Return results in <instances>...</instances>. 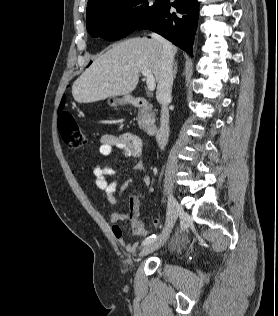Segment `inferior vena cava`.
Instances as JSON below:
<instances>
[{"label":"inferior vena cava","instance_id":"602c4592","mask_svg":"<svg viewBox=\"0 0 278 316\" xmlns=\"http://www.w3.org/2000/svg\"><path fill=\"white\" fill-rule=\"evenodd\" d=\"M151 37L159 41L162 45L160 79L157 86L156 98L161 104V126L158 143L161 150H164L169 138V111L167 104L171 100L174 54L168 41L155 33H152Z\"/></svg>","mask_w":278,"mask_h":316}]
</instances>
